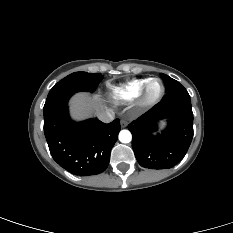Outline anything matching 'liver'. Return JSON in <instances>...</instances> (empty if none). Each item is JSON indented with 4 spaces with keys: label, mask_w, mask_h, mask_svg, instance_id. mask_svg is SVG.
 I'll list each match as a JSON object with an SVG mask.
<instances>
[{
    "label": "liver",
    "mask_w": 233,
    "mask_h": 233,
    "mask_svg": "<svg viewBox=\"0 0 233 233\" xmlns=\"http://www.w3.org/2000/svg\"><path fill=\"white\" fill-rule=\"evenodd\" d=\"M105 106L99 97L94 95L90 98L86 93L76 94L70 101L71 115L75 120H83L93 112L104 110Z\"/></svg>",
    "instance_id": "6515ba94"
}]
</instances>
